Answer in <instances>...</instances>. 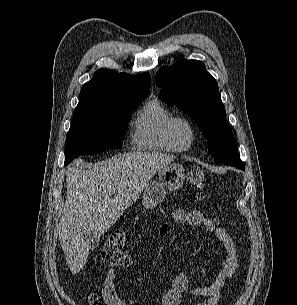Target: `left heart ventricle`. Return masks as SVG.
Returning a JSON list of instances; mask_svg holds the SVG:
<instances>
[{
	"instance_id": "left-heart-ventricle-1",
	"label": "left heart ventricle",
	"mask_w": 297,
	"mask_h": 305,
	"mask_svg": "<svg viewBox=\"0 0 297 305\" xmlns=\"http://www.w3.org/2000/svg\"><path fill=\"white\" fill-rule=\"evenodd\" d=\"M176 134H177L178 139L182 143L187 142L188 137H189V131H188V128L184 124L180 123V124L177 125Z\"/></svg>"
}]
</instances>
